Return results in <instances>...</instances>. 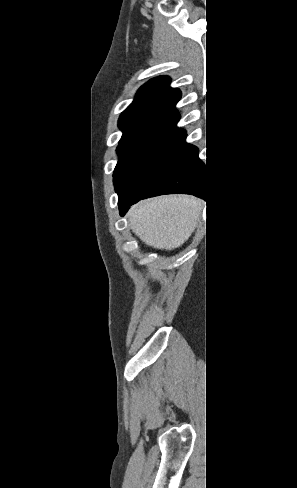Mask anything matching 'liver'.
Here are the masks:
<instances>
[{
	"label": "liver",
	"mask_w": 297,
	"mask_h": 488,
	"mask_svg": "<svg viewBox=\"0 0 297 488\" xmlns=\"http://www.w3.org/2000/svg\"><path fill=\"white\" fill-rule=\"evenodd\" d=\"M204 202L188 195H165L141 201L129 211L130 228L145 244L173 250L189 239Z\"/></svg>",
	"instance_id": "6515ba94"
}]
</instances>
